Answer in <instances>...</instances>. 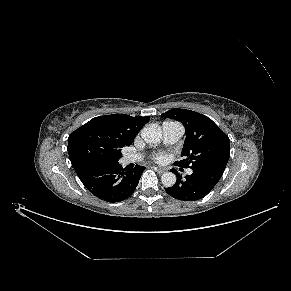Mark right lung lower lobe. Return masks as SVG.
<instances>
[{
  "label": "right lung lower lobe",
  "mask_w": 291,
  "mask_h": 291,
  "mask_svg": "<svg viewBox=\"0 0 291 291\" xmlns=\"http://www.w3.org/2000/svg\"><path fill=\"white\" fill-rule=\"evenodd\" d=\"M74 169L93 195L107 202H119L133 194L145 167L137 165L127 170L118 162L94 159L81 163Z\"/></svg>",
  "instance_id": "right-lung-lower-lobe-1"
}]
</instances>
